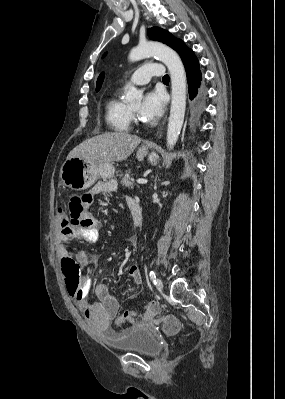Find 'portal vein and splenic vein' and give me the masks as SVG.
Wrapping results in <instances>:
<instances>
[{
	"mask_svg": "<svg viewBox=\"0 0 285 399\" xmlns=\"http://www.w3.org/2000/svg\"><path fill=\"white\" fill-rule=\"evenodd\" d=\"M148 181L146 179H138L137 183L138 184H146Z\"/></svg>",
	"mask_w": 285,
	"mask_h": 399,
	"instance_id": "portal-vein-and-splenic-vein-1",
	"label": "portal vein and splenic vein"
}]
</instances>
